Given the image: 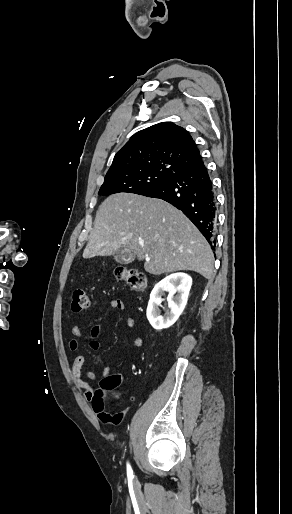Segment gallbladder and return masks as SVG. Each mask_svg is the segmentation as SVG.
<instances>
[{
	"instance_id": "gallbladder-1",
	"label": "gallbladder",
	"mask_w": 292,
	"mask_h": 514,
	"mask_svg": "<svg viewBox=\"0 0 292 514\" xmlns=\"http://www.w3.org/2000/svg\"><path fill=\"white\" fill-rule=\"evenodd\" d=\"M112 256H114L115 262H119V264H123V256H122L121 248H118L117 252H114V254H112Z\"/></svg>"
}]
</instances>
